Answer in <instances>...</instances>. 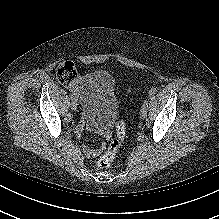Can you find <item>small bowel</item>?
I'll use <instances>...</instances> for the list:
<instances>
[{
	"label": "small bowel",
	"instance_id": "obj_1",
	"mask_svg": "<svg viewBox=\"0 0 219 219\" xmlns=\"http://www.w3.org/2000/svg\"><path fill=\"white\" fill-rule=\"evenodd\" d=\"M69 89L73 90L74 92L77 91L76 85L69 86ZM90 129L94 132H96L98 129L97 127L91 126ZM101 135H103L105 138H108L110 136L109 131H102ZM104 148V145H102L100 148H85L84 152L85 155L89 158H94L99 155L100 151Z\"/></svg>",
	"mask_w": 219,
	"mask_h": 219
}]
</instances>
